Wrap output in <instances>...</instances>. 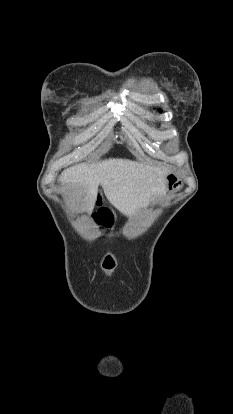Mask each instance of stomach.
I'll use <instances>...</instances> for the list:
<instances>
[{
    "instance_id": "stomach-1",
    "label": "stomach",
    "mask_w": 233,
    "mask_h": 414,
    "mask_svg": "<svg viewBox=\"0 0 233 414\" xmlns=\"http://www.w3.org/2000/svg\"><path fill=\"white\" fill-rule=\"evenodd\" d=\"M166 179H167L166 192H173L182 185L180 178L174 172H169L166 176Z\"/></svg>"
}]
</instances>
